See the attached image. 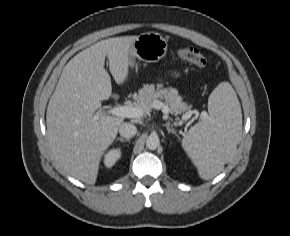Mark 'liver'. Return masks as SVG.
<instances>
[{"label": "liver", "instance_id": "liver-1", "mask_svg": "<svg viewBox=\"0 0 290 236\" xmlns=\"http://www.w3.org/2000/svg\"><path fill=\"white\" fill-rule=\"evenodd\" d=\"M138 36L109 38L74 56L63 68L46 112L51 152L72 177L96 182L101 157L115 140L123 117L94 114L112 94L105 58L118 85L129 75V50Z\"/></svg>", "mask_w": 290, "mask_h": 236}]
</instances>
